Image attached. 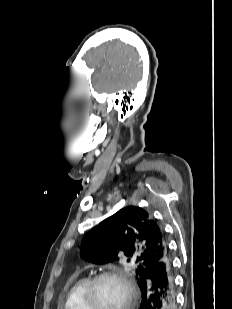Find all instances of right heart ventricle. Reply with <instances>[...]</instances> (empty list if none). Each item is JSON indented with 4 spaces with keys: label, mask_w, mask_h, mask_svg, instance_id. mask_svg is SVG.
Instances as JSON below:
<instances>
[{
    "label": "right heart ventricle",
    "mask_w": 232,
    "mask_h": 309,
    "mask_svg": "<svg viewBox=\"0 0 232 309\" xmlns=\"http://www.w3.org/2000/svg\"><path fill=\"white\" fill-rule=\"evenodd\" d=\"M88 282V278H80L73 284L67 294L64 309H87L84 293Z\"/></svg>",
    "instance_id": "right-heart-ventricle-1"
}]
</instances>
